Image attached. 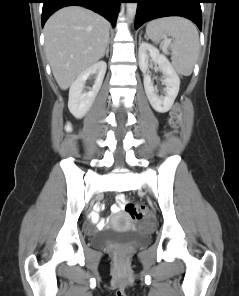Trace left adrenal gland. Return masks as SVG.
I'll list each match as a JSON object with an SVG mask.
<instances>
[{
    "label": "left adrenal gland",
    "mask_w": 239,
    "mask_h": 296,
    "mask_svg": "<svg viewBox=\"0 0 239 296\" xmlns=\"http://www.w3.org/2000/svg\"><path fill=\"white\" fill-rule=\"evenodd\" d=\"M139 44H141V34L139 35Z\"/></svg>",
    "instance_id": "left-adrenal-gland-1"
}]
</instances>
